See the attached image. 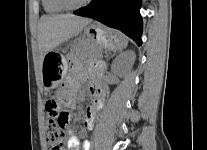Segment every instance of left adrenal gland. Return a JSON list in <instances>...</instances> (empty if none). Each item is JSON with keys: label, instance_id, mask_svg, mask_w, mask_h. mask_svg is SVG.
I'll return each instance as SVG.
<instances>
[{"label": "left adrenal gland", "instance_id": "1", "mask_svg": "<svg viewBox=\"0 0 207 150\" xmlns=\"http://www.w3.org/2000/svg\"><path fill=\"white\" fill-rule=\"evenodd\" d=\"M110 55H106V61H108V59L110 58Z\"/></svg>", "mask_w": 207, "mask_h": 150}]
</instances>
